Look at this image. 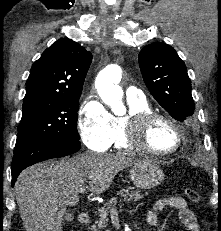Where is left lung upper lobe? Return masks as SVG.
Masks as SVG:
<instances>
[{
    "instance_id": "1",
    "label": "left lung upper lobe",
    "mask_w": 221,
    "mask_h": 231,
    "mask_svg": "<svg viewBox=\"0 0 221 231\" xmlns=\"http://www.w3.org/2000/svg\"><path fill=\"white\" fill-rule=\"evenodd\" d=\"M138 60L144 82L156 101L176 120L193 115L191 82L174 48L154 42L140 51Z\"/></svg>"
}]
</instances>
